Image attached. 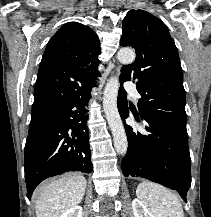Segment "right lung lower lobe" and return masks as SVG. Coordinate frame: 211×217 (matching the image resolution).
Returning <instances> with one entry per match:
<instances>
[{"instance_id":"98d812e1","label":"right lung lower lobe","mask_w":211,"mask_h":217,"mask_svg":"<svg viewBox=\"0 0 211 217\" xmlns=\"http://www.w3.org/2000/svg\"><path fill=\"white\" fill-rule=\"evenodd\" d=\"M90 90L75 98L32 114L25 144V180L30 199L44 179L68 171L92 172L86 126Z\"/></svg>"}]
</instances>
